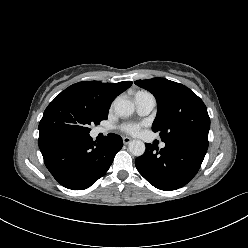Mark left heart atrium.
Wrapping results in <instances>:
<instances>
[{"mask_svg": "<svg viewBox=\"0 0 248 248\" xmlns=\"http://www.w3.org/2000/svg\"><path fill=\"white\" fill-rule=\"evenodd\" d=\"M121 129L129 134H136L140 129V124L136 123H126L121 126Z\"/></svg>", "mask_w": 248, "mask_h": 248, "instance_id": "left-heart-atrium-1", "label": "left heart atrium"}]
</instances>
